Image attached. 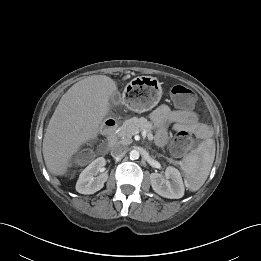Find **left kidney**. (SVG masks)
<instances>
[{
  "instance_id": "left-kidney-1",
  "label": "left kidney",
  "mask_w": 261,
  "mask_h": 261,
  "mask_svg": "<svg viewBox=\"0 0 261 261\" xmlns=\"http://www.w3.org/2000/svg\"><path fill=\"white\" fill-rule=\"evenodd\" d=\"M151 186L153 190L162 197L169 199H179L184 195V184L181 174L174 167H167L165 177L159 173H151Z\"/></svg>"
}]
</instances>
